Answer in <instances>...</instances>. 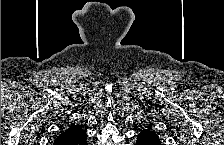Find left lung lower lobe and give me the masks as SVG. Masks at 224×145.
<instances>
[{
	"label": "left lung lower lobe",
	"mask_w": 224,
	"mask_h": 145,
	"mask_svg": "<svg viewBox=\"0 0 224 145\" xmlns=\"http://www.w3.org/2000/svg\"><path fill=\"white\" fill-rule=\"evenodd\" d=\"M136 145H161L157 134L150 130H143L137 137Z\"/></svg>",
	"instance_id": "0a47b994"
}]
</instances>
